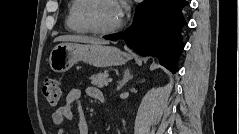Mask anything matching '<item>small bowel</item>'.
I'll list each match as a JSON object with an SVG mask.
<instances>
[{
  "label": "small bowel",
  "instance_id": "1",
  "mask_svg": "<svg viewBox=\"0 0 239 134\" xmlns=\"http://www.w3.org/2000/svg\"><path fill=\"white\" fill-rule=\"evenodd\" d=\"M86 93L89 97L102 101L103 93L95 87H88ZM81 91L79 89H71L64 100V103L52 113V122L54 125L61 126L65 120H73L75 118V106L78 114V133L88 134V127L85 119L82 116L79 101ZM59 134H66L64 129H60Z\"/></svg>",
  "mask_w": 239,
  "mask_h": 134
}]
</instances>
